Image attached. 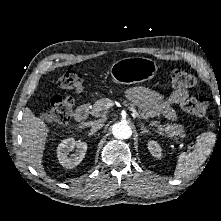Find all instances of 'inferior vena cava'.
<instances>
[{"instance_id": "1", "label": "inferior vena cava", "mask_w": 221, "mask_h": 221, "mask_svg": "<svg viewBox=\"0 0 221 221\" xmlns=\"http://www.w3.org/2000/svg\"><path fill=\"white\" fill-rule=\"evenodd\" d=\"M104 126L103 119H99L97 121H93L91 123V132H96L99 128Z\"/></svg>"}]
</instances>
